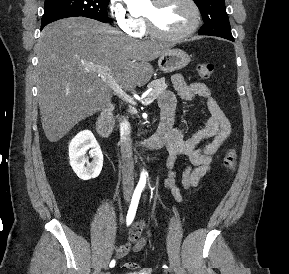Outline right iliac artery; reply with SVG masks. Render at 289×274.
Returning a JSON list of instances; mask_svg holds the SVG:
<instances>
[{
    "mask_svg": "<svg viewBox=\"0 0 289 274\" xmlns=\"http://www.w3.org/2000/svg\"><path fill=\"white\" fill-rule=\"evenodd\" d=\"M141 192H142V188L138 187V188L135 189V191L133 193L131 204H130V207H129V210H128V214H127V218H126L127 226H129L134 220V217H135V214H136V210H137V207H138V203H139V199H140V196H141ZM114 266H115V260H112L110 262V268H113Z\"/></svg>",
    "mask_w": 289,
    "mask_h": 274,
    "instance_id": "right-iliac-artery-1",
    "label": "right iliac artery"
}]
</instances>
